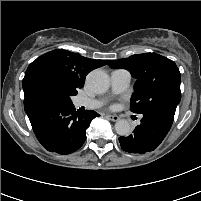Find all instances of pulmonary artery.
Segmentation results:
<instances>
[{
  "instance_id": "pulmonary-artery-1",
  "label": "pulmonary artery",
  "mask_w": 201,
  "mask_h": 201,
  "mask_svg": "<svg viewBox=\"0 0 201 201\" xmlns=\"http://www.w3.org/2000/svg\"><path fill=\"white\" fill-rule=\"evenodd\" d=\"M111 89L115 94L124 92L130 85L131 74L125 69H116L110 75ZM104 101L100 99L80 97L75 101L78 107L96 109L103 105Z\"/></svg>"
}]
</instances>
